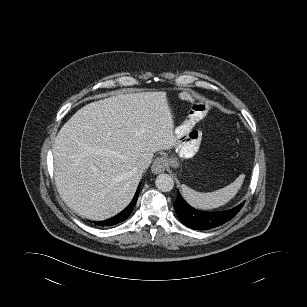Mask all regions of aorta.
Instances as JSON below:
<instances>
[{"label":"aorta","instance_id":"aorta-1","mask_svg":"<svg viewBox=\"0 0 307 307\" xmlns=\"http://www.w3.org/2000/svg\"><path fill=\"white\" fill-rule=\"evenodd\" d=\"M155 185L162 192H169L174 187V180L169 174H160L157 176Z\"/></svg>","mask_w":307,"mask_h":307}]
</instances>
